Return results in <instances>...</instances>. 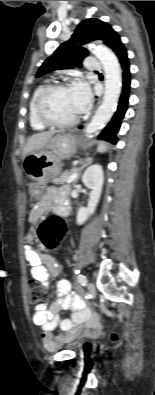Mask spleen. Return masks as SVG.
<instances>
[{
	"label": "spleen",
	"mask_w": 155,
	"mask_h": 395,
	"mask_svg": "<svg viewBox=\"0 0 155 395\" xmlns=\"http://www.w3.org/2000/svg\"><path fill=\"white\" fill-rule=\"evenodd\" d=\"M107 150V144L105 142H100L98 145V152L104 153Z\"/></svg>",
	"instance_id": "spleen-1"
}]
</instances>
